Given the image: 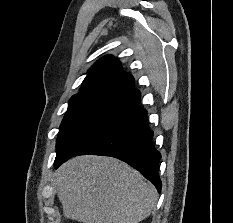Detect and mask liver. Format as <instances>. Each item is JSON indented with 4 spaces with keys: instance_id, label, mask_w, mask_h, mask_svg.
<instances>
[{
    "instance_id": "1",
    "label": "liver",
    "mask_w": 233,
    "mask_h": 223,
    "mask_svg": "<svg viewBox=\"0 0 233 223\" xmlns=\"http://www.w3.org/2000/svg\"><path fill=\"white\" fill-rule=\"evenodd\" d=\"M54 175L63 215L80 223H138L157 199L156 187L115 157L76 155Z\"/></svg>"
}]
</instances>
